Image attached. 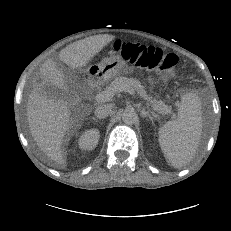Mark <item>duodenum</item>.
I'll use <instances>...</instances> for the list:
<instances>
[{
    "label": "duodenum",
    "mask_w": 231,
    "mask_h": 231,
    "mask_svg": "<svg viewBox=\"0 0 231 231\" xmlns=\"http://www.w3.org/2000/svg\"><path fill=\"white\" fill-rule=\"evenodd\" d=\"M96 82H97V81H96V79H95L94 77H91V78L89 79V81H88V83H87V88H86L87 92H89V91L92 90V88L95 86Z\"/></svg>",
    "instance_id": "obj_1"
}]
</instances>
